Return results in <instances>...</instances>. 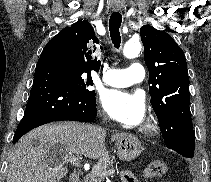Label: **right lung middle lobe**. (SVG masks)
<instances>
[{"mask_svg":"<svg viewBox=\"0 0 211 182\" xmlns=\"http://www.w3.org/2000/svg\"><path fill=\"white\" fill-rule=\"evenodd\" d=\"M66 65L68 66V69L72 74V77L74 78L76 84L80 87L82 93H84L85 95L94 97L95 91L87 88L88 86L93 85L91 74L84 71V70L79 69L78 67H76L74 65H71V64H68V63H66ZM84 73L88 74L87 79H83L82 75Z\"/></svg>","mask_w":211,"mask_h":182,"instance_id":"dd1d6c3e","label":"right lung middle lobe"}]
</instances>
